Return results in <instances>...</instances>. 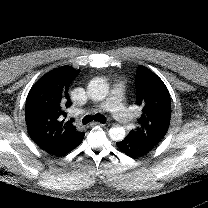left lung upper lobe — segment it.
<instances>
[{"instance_id":"5c2ea615","label":"left lung upper lobe","mask_w":208,"mask_h":208,"mask_svg":"<svg viewBox=\"0 0 208 208\" xmlns=\"http://www.w3.org/2000/svg\"><path fill=\"white\" fill-rule=\"evenodd\" d=\"M136 104L142 107L137 128L128 137L157 146L168 131L171 118L170 94L151 70L139 66L136 72Z\"/></svg>"}]
</instances>
